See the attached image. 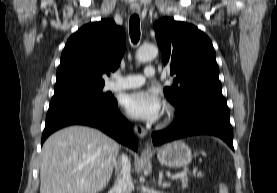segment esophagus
I'll return each mask as SVG.
<instances>
[{"label": "esophagus", "mask_w": 277, "mask_h": 193, "mask_svg": "<svg viewBox=\"0 0 277 193\" xmlns=\"http://www.w3.org/2000/svg\"><path fill=\"white\" fill-rule=\"evenodd\" d=\"M130 10L132 13L138 14L140 12V6L137 3H131L130 4ZM134 131L137 134V136L141 139H143L146 136L147 131L144 127L141 125H135Z\"/></svg>", "instance_id": "34e87169"}]
</instances>
